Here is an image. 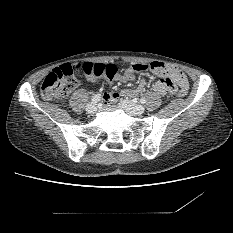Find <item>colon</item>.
<instances>
[{"mask_svg":"<svg viewBox=\"0 0 233 233\" xmlns=\"http://www.w3.org/2000/svg\"><path fill=\"white\" fill-rule=\"evenodd\" d=\"M156 70L155 63H138L122 72V76L133 79L137 72H147ZM83 73L90 78L112 79L118 74V70L113 64H101L91 62H77L64 65L51 71L41 85V96L45 100L67 97L76 85V75ZM187 87H182L178 94L184 96Z\"/></svg>","mask_w":233,"mask_h":233,"instance_id":"1","label":"colon"}]
</instances>
